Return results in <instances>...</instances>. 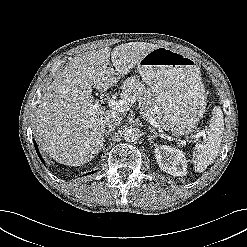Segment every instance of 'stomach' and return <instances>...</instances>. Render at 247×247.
<instances>
[{"instance_id":"obj_1","label":"stomach","mask_w":247,"mask_h":247,"mask_svg":"<svg viewBox=\"0 0 247 247\" xmlns=\"http://www.w3.org/2000/svg\"><path fill=\"white\" fill-rule=\"evenodd\" d=\"M173 135L189 134L205 111V91L196 61L173 49L157 47L137 64Z\"/></svg>"}]
</instances>
